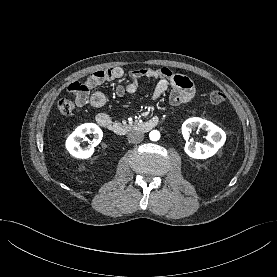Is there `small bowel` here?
Returning <instances> with one entry per match:
<instances>
[{
    "label": "small bowel",
    "mask_w": 277,
    "mask_h": 277,
    "mask_svg": "<svg viewBox=\"0 0 277 277\" xmlns=\"http://www.w3.org/2000/svg\"><path fill=\"white\" fill-rule=\"evenodd\" d=\"M142 79L156 80L153 91V99L158 100L166 92L170 91L169 100L172 105L178 106L190 102L195 95V86L186 76L173 73L170 69L162 67L158 69L140 68L129 72V79L124 78V71L120 67L108 68L94 72L88 76L84 82H80L85 87L83 91L74 89L75 83L69 86V91L74 94L78 106L90 104L95 108H101L106 104V96L96 91L90 94V89L110 81H118L115 87L117 96L133 94L137 91L139 81ZM103 119H111L107 113H99L96 117L98 124Z\"/></svg>",
    "instance_id": "c3829d8e"
}]
</instances>
